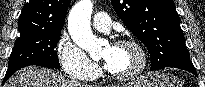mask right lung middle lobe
<instances>
[{
	"label": "right lung middle lobe",
	"mask_w": 205,
	"mask_h": 87,
	"mask_svg": "<svg viewBox=\"0 0 205 87\" xmlns=\"http://www.w3.org/2000/svg\"><path fill=\"white\" fill-rule=\"evenodd\" d=\"M60 35L61 30L20 32L12 50L8 67L16 64H27L60 68L57 52L54 50Z\"/></svg>",
	"instance_id": "dd1d6c3e"
}]
</instances>
